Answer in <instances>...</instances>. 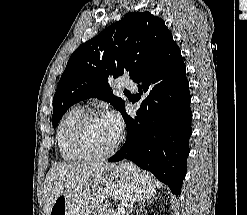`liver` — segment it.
Segmentation results:
<instances>
[{"instance_id": "liver-1", "label": "liver", "mask_w": 247, "mask_h": 215, "mask_svg": "<svg viewBox=\"0 0 247 215\" xmlns=\"http://www.w3.org/2000/svg\"><path fill=\"white\" fill-rule=\"evenodd\" d=\"M114 164L91 162L53 164L45 178L44 215H49L56 198L61 194L78 195L89 191L105 179Z\"/></svg>"}]
</instances>
